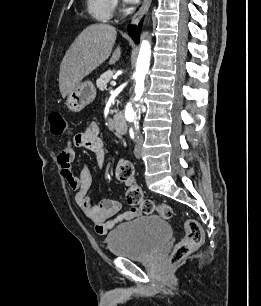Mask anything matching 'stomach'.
<instances>
[{"label": "stomach", "mask_w": 261, "mask_h": 306, "mask_svg": "<svg viewBox=\"0 0 261 306\" xmlns=\"http://www.w3.org/2000/svg\"><path fill=\"white\" fill-rule=\"evenodd\" d=\"M96 89L91 81L79 83L68 95L66 105L72 112H80L94 101Z\"/></svg>", "instance_id": "1"}]
</instances>
